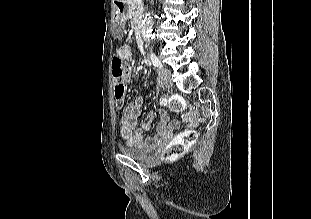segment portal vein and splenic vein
<instances>
[{"label":"portal vein and splenic vein","instance_id":"18ae733b","mask_svg":"<svg viewBox=\"0 0 311 219\" xmlns=\"http://www.w3.org/2000/svg\"><path fill=\"white\" fill-rule=\"evenodd\" d=\"M135 2H136L137 4H141V3H142V0H135Z\"/></svg>","mask_w":311,"mask_h":219}]
</instances>
